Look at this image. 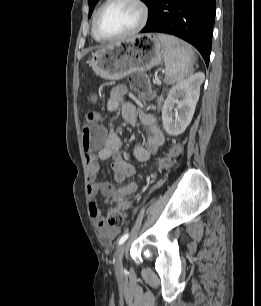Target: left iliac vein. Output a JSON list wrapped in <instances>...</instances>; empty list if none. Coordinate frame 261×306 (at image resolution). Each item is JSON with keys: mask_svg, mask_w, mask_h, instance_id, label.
Returning <instances> with one entry per match:
<instances>
[{"mask_svg": "<svg viewBox=\"0 0 261 306\" xmlns=\"http://www.w3.org/2000/svg\"><path fill=\"white\" fill-rule=\"evenodd\" d=\"M125 248H126V243H123L116 250L115 260H114V264H115L116 269H119V268L122 267V261H123Z\"/></svg>", "mask_w": 261, "mask_h": 306, "instance_id": "1", "label": "left iliac vein"}]
</instances>
